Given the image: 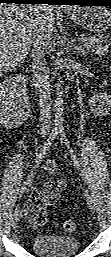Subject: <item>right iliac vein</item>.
I'll list each match as a JSON object with an SVG mask.
<instances>
[{"label": "right iliac vein", "instance_id": "63e3f726", "mask_svg": "<svg viewBox=\"0 0 111 257\" xmlns=\"http://www.w3.org/2000/svg\"><path fill=\"white\" fill-rule=\"evenodd\" d=\"M20 217H21V208L18 207V208L15 209L14 214H13V218H12V226L14 228L18 225Z\"/></svg>", "mask_w": 111, "mask_h": 257}]
</instances>
